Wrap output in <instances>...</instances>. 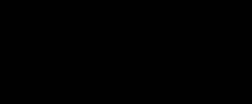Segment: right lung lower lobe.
Masks as SVG:
<instances>
[{"label":"right lung lower lobe","instance_id":"1","mask_svg":"<svg viewBox=\"0 0 252 104\" xmlns=\"http://www.w3.org/2000/svg\"><path fill=\"white\" fill-rule=\"evenodd\" d=\"M32 87L39 104H114L122 95L107 71L66 57H53L34 69Z\"/></svg>","mask_w":252,"mask_h":104}]
</instances>
